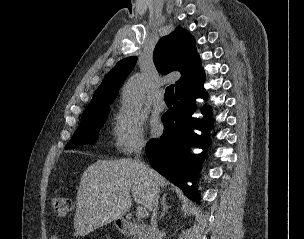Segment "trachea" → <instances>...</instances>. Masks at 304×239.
<instances>
[{"label": "trachea", "mask_w": 304, "mask_h": 239, "mask_svg": "<svg viewBox=\"0 0 304 239\" xmlns=\"http://www.w3.org/2000/svg\"><path fill=\"white\" fill-rule=\"evenodd\" d=\"M174 92V85H170L166 88L164 98L165 100H172Z\"/></svg>", "instance_id": "trachea-1"}]
</instances>
